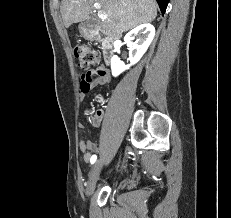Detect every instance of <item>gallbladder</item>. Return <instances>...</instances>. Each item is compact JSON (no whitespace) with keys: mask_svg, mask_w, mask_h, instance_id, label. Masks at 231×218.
I'll use <instances>...</instances> for the list:
<instances>
[{"mask_svg":"<svg viewBox=\"0 0 231 218\" xmlns=\"http://www.w3.org/2000/svg\"><path fill=\"white\" fill-rule=\"evenodd\" d=\"M87 24H88V25H92V24H93V20H91V19L88 20Z\"/></svg>","mask_w":231,"mask_h":218,"instance_id":"gallbladder-1","label":"gallbladder"}]
</instances>
